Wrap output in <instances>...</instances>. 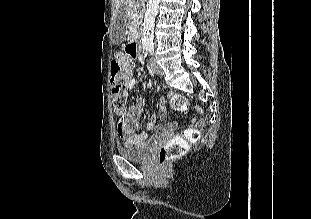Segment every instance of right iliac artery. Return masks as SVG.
I'll list each match as a JSON object with an SVG mask.
<instances>
[{"instance_id":"82829eb1","label":"right iliac artery","mask_w":311,"mask_h":219,"mask_svg":"<svg viewBox=\"0 0 311 219\" xmlns=\"http://www.w3.org/2000/svg\"><path fill=\"white\" fill-rule=\"evenodd\" d=\"M144 53H145V57L147 56V50L146 51H144Z\"/></svg>"}]
</instances>
